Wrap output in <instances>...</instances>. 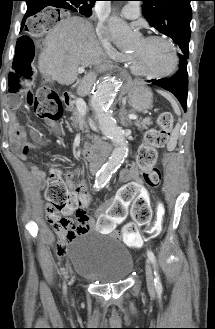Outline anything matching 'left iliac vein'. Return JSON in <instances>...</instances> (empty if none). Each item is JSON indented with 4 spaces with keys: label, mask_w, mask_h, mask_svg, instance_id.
I'll list each match as a JSON object with an SVG mask.
<instances>
[{
    "label": "left iliac vein",
    "mask_w": 215,
    "mask_h": 329,
    "mask_svg": "<svg viewBox=\"0 0 215 329\" xmlns=\"http://www.w3.org/2000/svg\"><path fill=\"white\" fill-rule=\"evenodd\" d=\"M145 273H146V280H147V286L150 292H154L155 287H154V276H153V271L151 268V265L149 261L146 262L145 265Z\"/></svg>",
    "instance_id": "obj_1"
}]
</instances>
